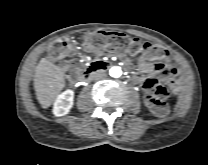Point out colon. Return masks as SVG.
Returning a JSON list of instances; mask_svg holds the SVG:
<instances>
[{
    "mask_svg": "<svg viewBox=\"0 0 208 165\" xmlns=\"http://www.w3.org/2000/svg\"><path fill=\"white\" fill-rule=\"evenodd\" d=\"M85 49L88 52L100 51L105 48H111L120 54H136L138 52H149L154 58L163 59L168 55V50L160 45L142 42L137 38L118 32L96 31L86 33L82 37ZM70 54V43L66 39H58L50 46L47 56L51 61H61ZM173 86L169 89L164 86H157L154 94L147 97L150 108L159 115H163L167 111L166 97L169 90H173Z\"/></svg>",
    "mask_w": 208,
    "mask_h": 165,
    "instance_id": "5ec220e1",
    "label": "colon"
}]
</instances>
